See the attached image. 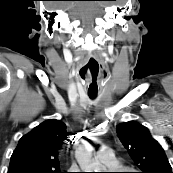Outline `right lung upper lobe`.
<instances>
[{
	"label": "right lung upper lobe",
	"mask_w": 173,
	"mask_h": 173,
	"mask_svg": "<svg viewBox=\"0 0 173 173\" xmlns=\"http://www.w3.org/2000/svg\"><path fill=\"white\" fill-rule=\"evenodd\" d=\"M67 135L63 122L56 119L44 121L19 140L11 156L8 173L25 170L60 172L59 152L68 140Z\"/></svg>",
	"instance_id": "right-lung-upper-lobe-1"
}]
</instances>
